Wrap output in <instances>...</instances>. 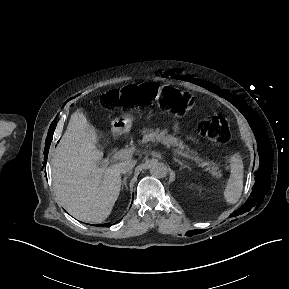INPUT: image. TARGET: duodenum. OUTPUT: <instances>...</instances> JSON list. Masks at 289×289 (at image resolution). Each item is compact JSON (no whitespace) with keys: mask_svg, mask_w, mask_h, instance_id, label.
Masks as SVG:
<instances>
[{"mask_svg":"<svg viewBox=\"0 0 289 289\" xmlns=\"http://www.w3.org/2000/svg\"><path fill=\"white\" fill-rule=\"evenodd\" d=\"M121 133H122V131H121V129H119V128H115L114 131H113V135H114V137H116V138L120 137V136H121Z\"/></svg>","mask_w":289,"mask_h":289,"instance_id":"1","label":"duodenum"}]
</instances>
